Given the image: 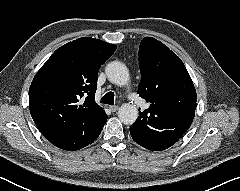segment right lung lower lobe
<instances>
[{
  "instance_id": "obj_1",
  "label": "right lung lower lobe",
  "mask_w": 240,
  "mask_h": 191,
  "mask_svg": "<svg viewBox=\"0 0 240 191\" xmlns=\"http://www.w3.org/2000/svg\"><path fill=\"white\" fill-rule=\"evenodd\" d=\"M107 115L101 123L95 128L87 130L83 133L61 136L50 139L49 141L56 147L64 150L75 151L93 143L101 133L104 124L106 123Z\"/></svg>"
}]
</instances>
